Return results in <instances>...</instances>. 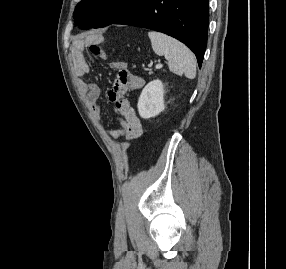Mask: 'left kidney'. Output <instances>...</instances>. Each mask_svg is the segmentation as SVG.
<instances>
[{
  "label": "left kidney",
  "mask_w": 286,
  "mask_h": 269,
  "mask_svg": "<svg viewBox=\"0 0 286 269\" xmlns=\"http://www.w3.org/2000/svg\"><path fill=\"white\" fill-rule=\"evenodd\" d=\"M137 106L142 118L159 115L165 109L163 83L160 80L149 82L142 90Z\"/></svg>",
  "instance_id": "5707ae66"
}]
</instances>
